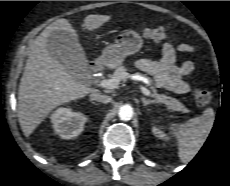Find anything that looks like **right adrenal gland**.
<instances>
[{"label": "right adrenal gland", "instance_id": "right-adrenal-gland-1", "mask_svg": "<svg viewBox=\"0 0 230 186\" xmlns=\"http://www.w3.org/2000/svg\"><path fill=\"white\" fill-rule=\"evenodd\" d=\"M91 103L94 104V105H97L95 102H92V101H91Z\"/></svg>", "mask_w": 230, "mask_h": 186}]
</instances>
